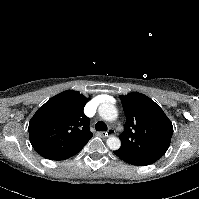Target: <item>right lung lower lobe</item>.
<instances>
[{"mask_svg":"<svg viewBox=\"0 0 199 199\" xmlns=\"http://www.w3.org/2000/svg\"><path fill=\"white\" fill-rule=\"evenodd\" d=\"M85 145L79 147L78 149L66 154V155H63V156H60V157H57V158H53L51 160H65V159H68L72 156H74L75 154H77Z\"/></svg>","mask_w":199,"mask_h":199,"instance_id":"obj_1","label":"right lung lower lobe"}]
</instances>
